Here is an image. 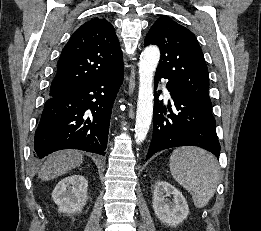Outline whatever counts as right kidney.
I'll return each mask as SVG.
<instances>
[{
    "label": "right kidney",
    "instance_id": "right-kidney-1",
    "mask_svg": "<svg viewBox=\"0 0 261 231\" xmlns=\"http://www.w3.org/2000/svg\"><path fill=\"white\" fill-rule=\"evenodd\" d=\"M88 181L82 175H71L62 179L52 192L58 211L75 213L82 210L87 201Z\"/></svg>",
    "mask_w": 261,
    "mask_h": 231
}]
</instances>
